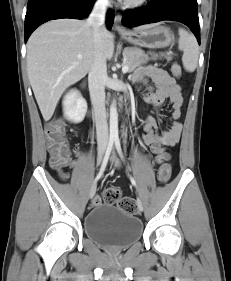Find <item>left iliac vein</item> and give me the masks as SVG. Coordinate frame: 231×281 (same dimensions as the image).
<instances>
[{"mask_svg": "<svg viewBox=\"0 0 231 281\" xmlns=\"http://www.w3.org/2000/svg\"><path fill=\"white\" fill-rule=\"evenodd\" d=\"M112 161H114L115 163L118 164V160H117L114 153H113V156H112ZM137 206H138L139 211H143V204H142V201L139 198L137 199Z\"/></svg>", "mask_w": 231, "mask_h": 281, "instance_id": "obj_1", "label": "left iliac vein"}]
</instances>
